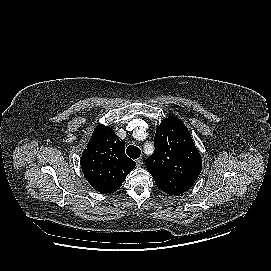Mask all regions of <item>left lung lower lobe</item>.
I'll list each match as a JSON object with an SVG mask.
<instances>
[{
	"label": "left lung lower lobe",
	"instance_id": "1",
	"mask_svg": "<svg viewBox=\"0 0 271 271\" xmlns=\"http://www.w3.org/2000/svg\"><path fill=\"white\" fill-rule=\"evenodd\" d=\"M192 185L183 181H178V194L184 193L185 191H187L188 189H190ZM177 194V195H178Z\"/></svg>",
	"mask_w": 271,
	"mask_h": 271
}]
</instances>
